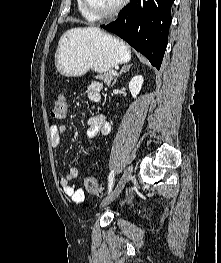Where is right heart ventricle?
Listing matches in <instances>:
<instances>
[{
    "instance_id": "e07e8e85",
    "label": "right heart ventricle",
    "mask_w": 221,
    "mask_h": 263,
    "mask_svg": "<svg viewBox=\"0 0 221 263\" xmlns=\"http://www.w3.org/2000/svg\"><path fill=\"white\" fill-rule=\"evenodd\" d=\"M77 7H78V10L80 12V14L85 17L86 19L88 20H93L92 18H90L88 16V14L84 11L83 7H82V4H81V0H77Z\"/></svg>"
}]
</instances>
